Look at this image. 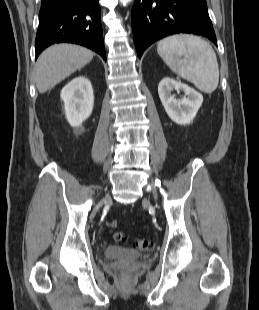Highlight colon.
Here are the masks:
<instances>
[{
	"label": "colon",
	"mask_w": 259,
	"mask_h": 310,
	"mask_svg": "<svg viewBox=\"0 0 259 310\" xmlns=\"http://www.w3.org/2000/svg\"><path fill=\"white\" fill-rule=\"evenodd\" d=\"M117 226H118V222L115 220L108 222V227L114 230L112 233L113 240L116 242H122L125 239V237L121 231L115 230ZM151 245H152L151 241L140 239L134 243V249L138 251H146L150 249Z\"/></svg>",
	"instance_id": "1"
}]
</instances>
